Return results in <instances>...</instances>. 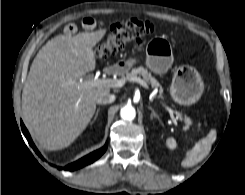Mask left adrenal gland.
Here are the masks:
<instances>
[{"instance_id": "obj_1", "label": "left adrenal gland", "mask_w": 245, "mask_h": 195, "mask_svg": "<svg viewBox=\"0 0 245 195\" xmlns=\"http://www.w3.org/2000/svg\"><path fill=\"white\" fill-rule=\"evenodd\" d=\"M148 109L151 110V119L157 118L159 120V116L156 114V112L154 111V109L151 106H149Z\"/></svg>"}]
</instances>
